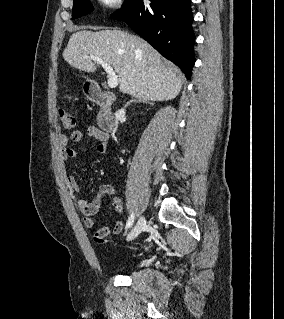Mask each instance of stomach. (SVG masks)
<instances>
[{
  "label": "stomach",
  "instance_id": "stomach-1",
  "mask_svg": "<svg viewBox=\"0 0 284 319\" xmlns=\"http://www.w3.org/2000/svg\"><path fill=\"white\" fill-rule=\"evenodd\" d=\"M83 91H84V93H87V92L89 91V86H88V84H85V85H84Z\"/></svg>",
  "mask_w": 284,
  "mask_h": 319
}]
</instances>
